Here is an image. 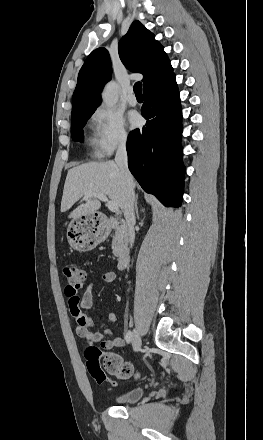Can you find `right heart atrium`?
Masks as SVG:
<instances>
[{"label": "right heart atrium", "mask_w": 263, "mask_h": 440, "mask_svg": "<svg viewBox=\"0 0 263 440\" xmlns=\"http://www.w3.org/2000/svg\"><path fill=\"white\" fill-rule=\"evenodd\" d=\"M94 123V144L98 152L104 155L113 153L129 142V134L123 117L107 107H99L92 116Z\"/></svg>", "instance_id": "d8ad5b80"}]
</instances>
